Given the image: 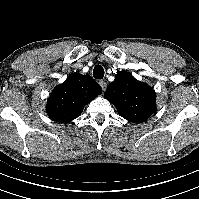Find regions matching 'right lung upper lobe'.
Instances as JSON below:
<instances>
[{"mask_svg": "<svg viewBox=\"0 0 199 199\" xmlns=\"http://www.w3.org/2000/svg\"><path fill=\"white\" fill-rule=\"evenodd\" d=\"M102 93L101 86L89 75L71 74L56 86L47 102L49 117L67 123L79 117L83 108Z\"/></svg>", "mask_w": 199, "mask_h": 199, "instance_id": "cb5924a9", "label": "right lung upper lobe"}]
</instances>
